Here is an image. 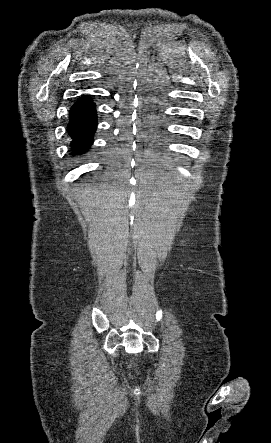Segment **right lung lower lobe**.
<instances>
[{"label": "right lung lower lobe", "instance_id": "right-lung-lower-lobe-1", "mask_svg": "<svg viewBox=\"0 0 271 443\" xmlns=\"http://www.w3.org/2000/svg\"><path fill=\"white\" fill-rule=\"evenodd\" d=\"M97 114L90 96L80 97L71 107L67 131L72 138L71 148L75 154L86 152L96 130Z\"/></svg>", "mask_w": 271, "mask_h": 443}]
</instances>
